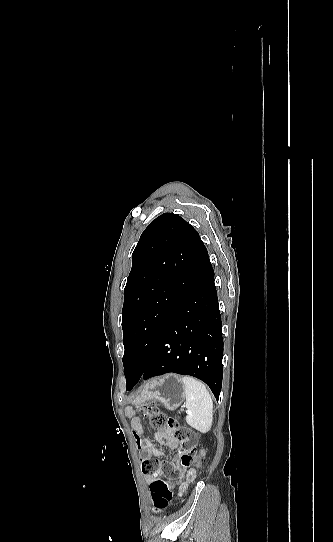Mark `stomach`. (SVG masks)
Segmentation results:
<instances>
[{"instance_id": "0dacf381", "label": "stomach", "mask_w": 333, "mask_h": 542, "mask_svg": "<svg viewBox=\"0 0 333 542\" xmlns=\"http://www.w3.org/2000/svg\"><path fill=\"white\" fill-rule=\"evenodd\" d=\"M156 400L165 406L166 410H177L185 400L181 378L176 374H166L161 378H153L145 384L137 402Z\"/></svg>"}]
</instances>
